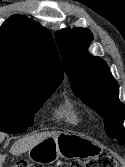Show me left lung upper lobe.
<instances>
[{"label":"left lung upper lobe","instance_id":"5c2ea615","mask_svg":"<svg viewBox=\"0 0 125 167\" xmlns=\"http://www.w3.org/2000/svg\"><path fill=\"white\" fill-rule=\"evenodd\" d=\"M64 70L75 95L104 118L108 137L125 144V105L106 63L87 52L93 36L88 29H62L55 33Z\"/></svg>","mask_w":125,"mask_h":167}]
</instances>
